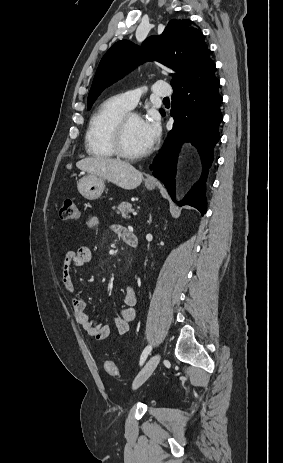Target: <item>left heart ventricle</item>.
Returning <instances> with one entry per match:
<instances>
[{"label": "left heart ventricle", "mask_w": 283, "mask_h": 463, "mask_svg": "<svg viewBox=\"0 0 283 463\" xmlns=\"http://www.w3.org/2000/svg\"><path fill=\"white\" fill-rule=\"evenodd\" d=\"M124 146L131 153H142L148 150L141 129V120L135 116L129 118L125 133Z\"/></svg>", "instance_id": "1"}]
</instances>
